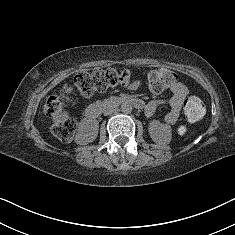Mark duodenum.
<instances>
[{
  "instance_id": "duodenum-1",
  "label": "duodenum",
  "mask_w": 235,
  "mask_h": 235,
  "mask_svg": "<svg viewBox=\"0 0 235 235\" xmlns=\"http://www.w3.org/2000/svg\"><path fill=\"white\" fill-rule=\"evenodd\" d=\"M120 103H129L139 109L143 107V102L141 100L132 99L129 97L121 99ZM100 113H101V106L96 104H92L88 106L86 109V116L91 119L97 118L100 115Z\"/></svg>"
}]
</instances>
